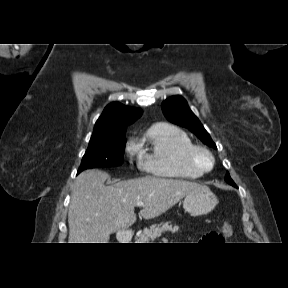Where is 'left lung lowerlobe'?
<instances>
[{
  "label": "left lung lower lobe",
  "instance_id": "0a47b994",
  "mask_svg": "<svg viewBox=\"0 0 288 288\" xmlns=\"http://www.w3.org/2000/svg\"><path fill=\"white\" fill-rule=\"evenodd\" d=\"M230 185H232V186H234V187H237L234 182H233V183H230Z\"/></svg>",
  "mask_w": 288,
  "mask_h": 288
}]
</instances>
